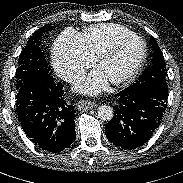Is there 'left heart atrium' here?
<instances>
[{"label": "left heart atrium", "mask_w": 183, "mask_h": 183, "mask_svg": "<svg viewBox=\"0 0 183 183\" xmlns=\"http://www.w3.org/2000/svg\"><path fill=\"white\" fill-rule=\"evenodd\" d=\"M108 82L106 76L96 69L77 87V91L82 94L96 95L107 87Z\"/></svg>", "instance_id": "1"}]
</instances>
